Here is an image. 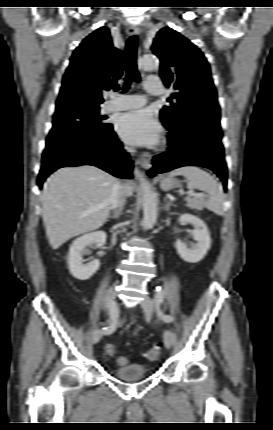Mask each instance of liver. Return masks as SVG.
I'll return each instance as SVG.
<instances>
[{"label":"liver","instance_id":"1","mask_svg":"<svg viewBox=\"0 0 273 430\" xmlns=\"http://www.w3.org/2000/svg\"><path fill=\"white\" fill-rule=\"evenodd\" d=\"M115 181L111 174L93 165L60 168L47 179L41 195L42 216L53 249L103 226ZM123 188L127 196H132L131 181Z\"/></svg>","mask_w":273,"mask_h":430}]
</instances>
